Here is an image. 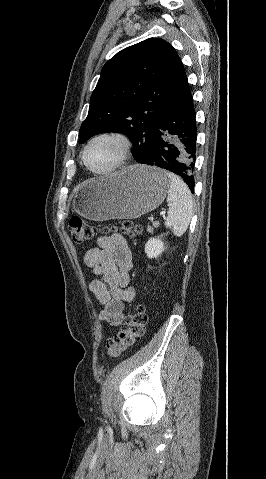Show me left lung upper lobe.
<instances>
[{
    "instance_id": "5c2ea615",
    "label": "left lung upper lobe",
    "mask_w": 266,
    "mask_h": 479,
    "mask_svg": "<svg viewBox=\"0 0 266 479\" xmlns=\"http://www.w3.org/2000/svg\"><path fill=\"white\" fill-rule=\"evenodd\" d=\"M186 79L181 59L165 40L148 38L118 52L103 67L79 138L103 132L131 140L132 156L143 163L167 103Z\"/></svg>"
}]
</instances>
